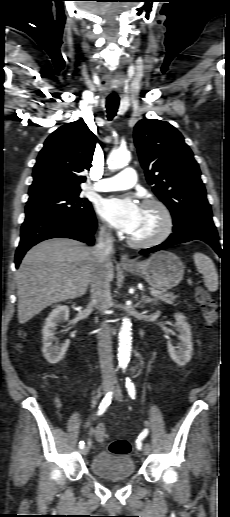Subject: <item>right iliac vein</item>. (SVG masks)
I'll list each match as a JSON object with an SVG mask.
<instances>
[{"label": "right iliac vein", "instance_id": "right-iliac-vein-1", "mask_svg": "<svg viewBox=\"0 0 230 517\" xmlns=\"http://www.w3.org/2000/svg\"><path fill=\"white\" fill-rule=\"evenodd\" d=\"M110 390V384H105L104 387H103V393L104 394H107ZM89 452V446H84V448L81 449V454L82 455H87Z\"/></svg>", "mask_w": 230, "mask_h": 517}]
</instances>
